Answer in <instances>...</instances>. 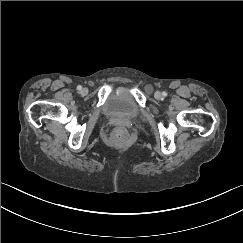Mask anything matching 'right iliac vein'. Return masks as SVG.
<instances>
[{
    "mask_svg": "<svg viewBox=\"0 0 243 243\" xmlns=\"http://www.w3.org/2000/svg\"><path fill=\"white\" fill-rule=\"evenodd\" d=\"M80 93L82 95H86L88 93V90L86 88L81 89Z\"/></svg>",
    "mask_w": 243,
    "mask_h": 243,
    "instance_id": "right-iliac-vein-1",
    "label": "right iliac vein"
}]
</instances>
